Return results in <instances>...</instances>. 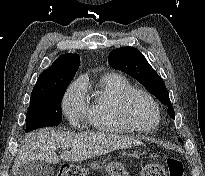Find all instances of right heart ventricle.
<instances>
[{"label":"right heart ventricle","mask_w":205,"mask_h":176,"mask_svg":"<svg viewBox=\"0 0 205 176\" xmlns=\"http://www.w3.org/2000/svg\"><path fill=\"white\" fill-rule=\"evenodd\" d=\"M133 88L127 78L116 73L100 77L88 103L87 115L95 129L107 134L129 133L133 129L120 112L122 96Z\"/></svg>","instance_id":"obj_1"}]
</instances>
